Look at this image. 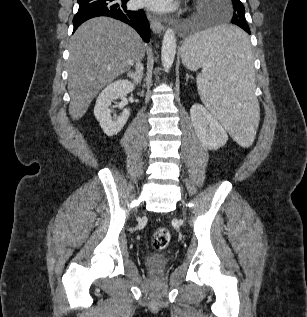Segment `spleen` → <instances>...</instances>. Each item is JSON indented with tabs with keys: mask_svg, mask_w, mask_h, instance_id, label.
<instances>
[{
	"mask_svg": "<svg viewBox=\"0 0 307 317\" xmlns=\"http://www.w3.org/2000/svg\"><path fill=\"white\" fill-rule=\"evenodd\" d=\"M182 63L197 76L203 104L241 145L249 142L258 120V100L246 29L205 26L181 47Z\"/></svg>",
	"mask_w": 307,
	"mask_h": 317,
	"instance_id": "1",
	"label": "spleen"
}]
</instances>
